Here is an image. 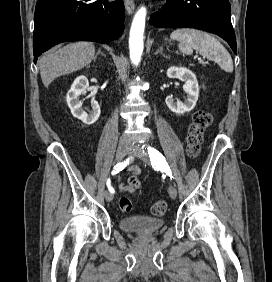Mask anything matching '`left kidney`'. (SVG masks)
<instances>
[{
  "label": "left kidney",
  "instance_id": "left-kidney-1",
  "mask_svg": "<svg viewBox=\"0 0 272 282\" xmlns=\"http://www.w3.org/2000/svg\"><path fill=\"white\" fill-rule=\"evenodd\" d=\"M167 77L177 78L185 82L183 90L187 94V99L181 102L175 101L172 96H167L165 99L166 105L176 114L190 112L195 107L199 96V86L195 74L185 67L172 66L167 70Z\"/></svg>",
  "mask_w": 272,
  "mask_h": 282
}]
</instances>
